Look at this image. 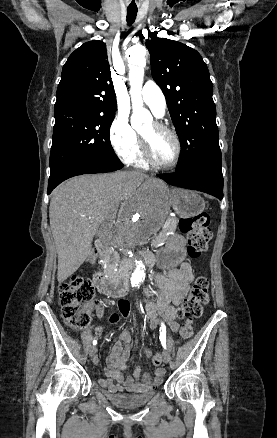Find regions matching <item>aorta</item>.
<instances>
[{"mask_svg": "<svg viewBox=\"0 0 277 438\" xmlns=\"http://www.w3.org/2000/svg\"><path fill=\"white\" fill-rule=\"evenodd\" d=\"M129 66L130 94L133 114L131 124L134 128L152 119L143 107L141 88L146 65L145 50L135 45L126 53ZM169 203L165 193L157 187H146L138 191L129 201L110 236V245L126 257L134 253L155 234L165 222ZM145 265L135 260V270L131 276L132 287L138 286L145 278Z\"/></svg>", "mask_w": 277, "mask_h": 438, "instance_id": "obj_1", "label": "aorta"}]
</instances>
